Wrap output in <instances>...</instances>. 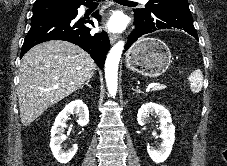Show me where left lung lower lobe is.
<instances>
[{
  "label": "left lung lower lobe",
  "mask_w": 227,
  "mask_h": 166,
  "mask_svg": "<svg viewBox=\"0 0 227 166\" xmlns=\"http://www.w3.org/2000/svg\"><path fill=\"white\" fill-rule=\"evenodd\" d=\"M134 17L135 28L129 36L125 50L142 35L161 29L177 28L198 40L188 3L152 4L148 14L134 11Z\"/></svg>",
  "instance_id": "obj_1"
}]
</instances>
